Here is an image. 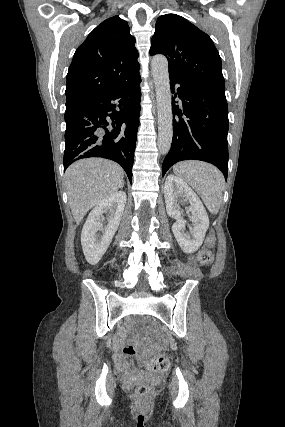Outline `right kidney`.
Masks as SVG:
<instances>
[{
	"mask_svg": "<svg viewBox=\"0 0 285 427\" xmlns=\"http://www.w3.org/2000/svg\"><path fill=\"white\" fill-rule=\"evenodd\" d=\"M126 193L115 192L99 202L90 212L81 233V244L86 260L90 264H97L108 249L115 232L118 229L126 204ZM109 212L108 224L103 227V214ZM103 235L99 238L97 232Z\"/></svg>",
	"mask_w": 285,
	"mask_h": 427,
	"instance_id": "1",
	"label": "right kidney"
}]
</instances>
